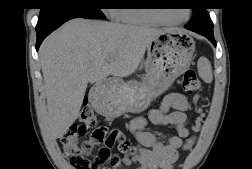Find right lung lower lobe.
Masks as SVG:
<instances>
[{"label":"right lung lower lobe","mask_w":252,"mask_h":169,"mask_svg":"<svg viewBox=\"0 0 252 169\" xmlns=\"http://www.w3.org/2000/svg\"><path fill=\"white\" fill-rule=\"evenodd\" d=\"M87 18V19H94L88 16L80 15V14H65L60 16H55L49 18L47 20L38 22L36 26V33H37V44L36 49L38 50L41 42L43 39L50 34L53 30L64 24L66 21L73 19V18Z\"/></svg>","instance_id":"1"}]
</instances>
